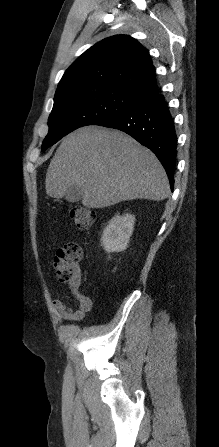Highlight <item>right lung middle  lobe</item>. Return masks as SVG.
<instances>
[{
    "instance_id": "1",
    "label": "right lung middle lobe",
    "mask_w": 219,
    "mask_h": 447,
    "mask_svg": "<svg viewBox=\"0 0 219 447\" xmlns=\"http://www.w3.org/2000/svg\"><path fill=\"white\" fill-rule=\"evenodd\" d=\"M140 100L116 87L76 85L56 91L42 151L77 128L96 125Z\"/></svg>"
}]
</instances>
